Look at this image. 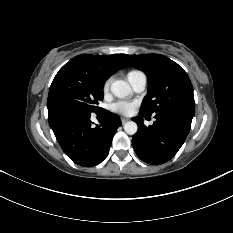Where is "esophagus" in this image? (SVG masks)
<instances>
[{
  "label": "esophagus",
  "mask_w": 233,
  "mask_h": 233,
  "mask_svg": "<svg viewBox=\"0 0 233 233\" xmlns=\"http://www.w3.org/2000/svg\"><path fill=\"white\" fill-rule=\"evenodd\" d=\"M129 119L128 118H121V122H122V124H125L127 121H128Z\"/></svg>",
  "instance_id": "34e87169"
}]
</instances>
